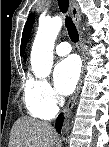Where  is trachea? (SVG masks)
Instances as JSON below:
<instances>
[{
    "label": "trachea",
    "instance_id": "1",
    "mask_svg": "<svg viewBox=\"0 0 109 147\" xmlns=\"http://www.w3.org/2000/svg\"><path fill=\"white\" fill-rule=\"evenodd\" d=\"M58 4H59V9L62 13H66L68 11V5H69L68 0H58ZM65 26L68 30V34H69L70 39L73 42H77L79 39V35L77 32L76 26L73 23L72 19L68 16H66V18H65Z\"/></svg>",
    "mask_w": 109,
    "mask_h": 147
}]
</instances>
